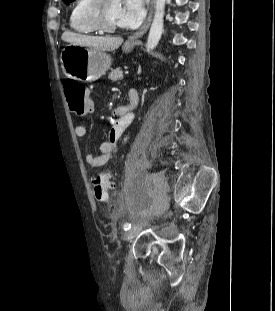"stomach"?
<instances>
[{
    "label": "stomach",
    "mask_w": 275,
    "mask_h": 311,
    "mask_svg": "<svg viewBox=\"0 0 275 311\" xmlns=\"http://www.w3.org/2000/svg\"><path fill=\"white\" fill-rule=\"evenodd\" d=\"M134 45L125 43L122 47L125 53H130ZM60 61L67 77L96 81L110 69L112 58L105 51L81 45H67L61 52Z\"/></svg>",
    "instance_id": "stomach-1"
}]
</instances>
